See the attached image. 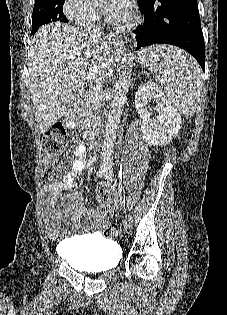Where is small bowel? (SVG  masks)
<instances>
[{"mask_svg": "<svg viewBox=\"0 0 227 315\" xmlns=\"http://www.w3.org/2000/svg\"><path fill=\"white\" fill-rule=\"evenodd\" d=\"M86 163V147L84 145H77L73 150L71 172L65 174L59 181L52 183L44 189V223L50 230L57 231L59 223L67 217H71L74 222H78L83 216H89L98 221V214L96 211L84 206V198L81 195L66 193L74 187V178L79 172L85 169ZM108 193L110 195L109 216H111L116 208L117 196L115 193ZM60 200L64 201V206L62 210H57L55 204ZM99 224L101 225V223Z\"/></svg>", "mask_w": 227, "mask_h": 315, "instance_id": "c3829d8e", "label": "small bowel"}]
</instances>
